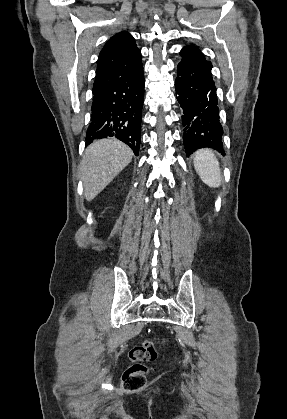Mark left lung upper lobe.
Instances as JSON below:
<instances>
[{"label":"left lung upper lobe","mask_w":287,"mask_h":419,"mask_svg":"<svg viewBox=\"0 0 287 419\" xmlns=\"http://www.w3.org/2000/svg\"><path fill=\"white\" fill-rule=\"evenodd\" d=\"M180 55L183 57L182 59L209 62L205 60L203 54L199 51V49L194 46L184 47L181 50Z\"/></svg>","instance_id":"obj_1"}]
</instances>
